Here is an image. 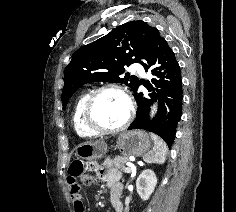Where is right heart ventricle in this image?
Wrapping results in <instances>:
<instances>
[{"mask_svg": "<svg viewBox=\"0 0 236 212\" xmlns=\"http://www.w3.org/2000/svg\"><path fill=\"white\" fill-rule=\"evenodd\" d=\"M90 91L81 93L76 99L72 109V125L75 133L81 138L95 137L97 134L90 131L83 122V108Z\"/></svg>", "mask_w": 236, "mask_h": 212, "instance_id": "right-heart-ventricle-1", "label": "right heart ventricle"}]
</instances>
